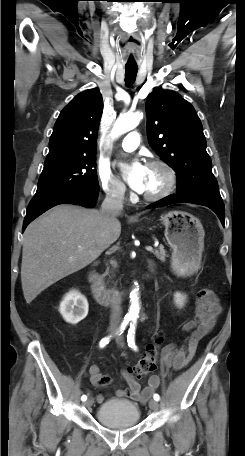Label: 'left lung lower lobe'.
Instances as JSON below:
<instances>
[{"mask_svg": "<svg viewBox=\"0 0 245 456\" xmlns=\"http://www.w3.org/2000/svg\"><path fill=\"white\" fill-rule=\"evenodd\" d=\"M181 202L199 204V205H203V206L210 208L217 214L222 225L224 226L225 209H224L223 201H217V200L208 199V198L180 196V195L174 194V195H170L158 202H155V203L149 205L147 208L163 207V206H167L170 204L181 203Z\"/></svg>", "mask_w": 245, "mask_h": 456, "instance_id": "obj_1", "label": "left lung lower lobe"}]
</instances>
